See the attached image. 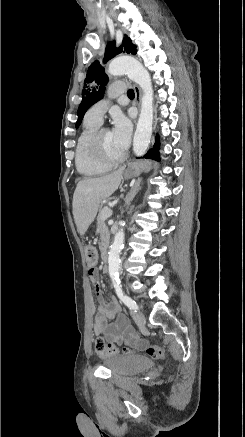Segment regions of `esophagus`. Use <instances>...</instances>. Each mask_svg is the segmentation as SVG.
Here are the masks:
<instances>
[{"label": "esophagus", "instance_id": "1", "mask_svg": "<svg viewBox=\"0 0 245 437\" xmlns=\"http://www.w3.org/2000/svg\"><path fill=\"white\" fill-rule=\"evenodd\" d=\"M134 91H135V103L139 108L141 102V90L137 85H134Z\"/></svg>", "mask_w": 245, "mask_h": 437}]
</instances>
